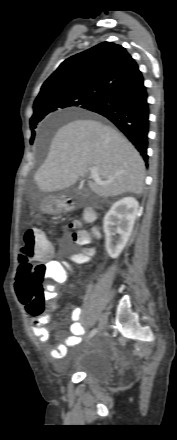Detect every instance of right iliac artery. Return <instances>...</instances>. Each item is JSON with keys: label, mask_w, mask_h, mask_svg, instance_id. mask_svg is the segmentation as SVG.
<instances>
[{"label": "right iliac artery", "mask_w": 177, "mask_h": 440, "mask_svg": "<svg viewBox=\"0 0 177 440\" xmlns=\"http://www.w3.org/2000/svg\"><path fill=\"white\" fill-rule=\"evenodd\" d=\"M97 333V329H93L90 334H89V338L93 337L95 334Z\"/></svg>", "instance_id": "right-iliac-artery-1"}]
</instances>
